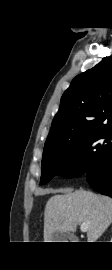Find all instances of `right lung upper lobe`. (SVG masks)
Returning <instances> with one entry per match:
<instances>
[{"label":"right lung upper lobe","instance_id":"1","mask_svg":"<svg viewBox=\"0 0 112 270\" xmlns=\"http://www.w3.org/2000/svg\"><path fill=\"white\" fill-rule=\"evenodd\" d=\"M108 125H112V55L72 80L62 95L44 148Z\"/></svg>","mask_w":112,"mask_h":270}]
</instances>
